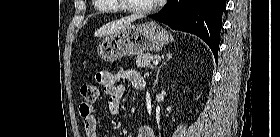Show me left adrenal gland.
<instances>
[{"instance_id": "obj_1", "label": "left adrenal gland", "mask_w": 280, "mask_h": 137, "mask_svg": "<svg viewBox=\"0 0 280 137\" xmlns=\"http://www.w3.org/2000/svg\"><path fill=\"white\" fill-rule=\"evenodd\" d=\"M166 57H167V58H166V61H165V62L158 68V70H157L154 86L157 84L158 75H159L160 69L172 58V53H170V52L167 53Z\"/></svg>"}]
</instances>
